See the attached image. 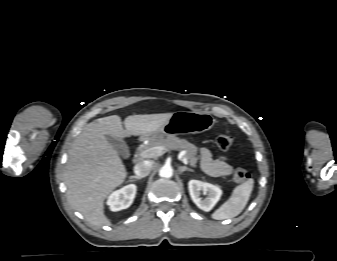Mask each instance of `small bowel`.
Wrapping results in <instances>:
<instances>
[{
  "label": "small bowel",
  "mask_w": 337,
  "mask_h": 261,
  "mask_svg": "<svg viewBox=\"0 0 337 261\" xmlns=\"http://www.w3.org/2000/svg\"><path fill=\"white\" fill-rule=\"evenodd\" d=\"M200 163L203 171L211 176H228L232 172V166L226 156L214 157L207 148L200 150Z\"/></svg>",
  "instance_id": "c3829d8e"
}]
</instances>
